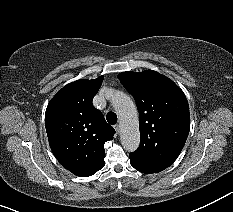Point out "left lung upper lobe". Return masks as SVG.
<instances>
[{"instance_id": "left-lung-upper-lobe-1", "label": "left lung upper lobe", "mask_w": 233, "mask_h": 212, "mask_svg": "<svg viewBox=\"0 0 233 212\" xmlns=\"http://www.w3.org/2000/svg\"><path fill=\"white\" fill-rule=\"evenodd\" d=\"M123 86L134 97L140 114V145L133 154L169 167L180 154L190 128L183 91L168 77L153 71L122 72Z\"/></svg>"}]
</instances>
